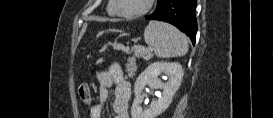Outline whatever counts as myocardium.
<instances>
[{
  "label": "myocardium",
  "mask_w": 273,
  "mask_h": 118,
  "mask_svg": "<svg viewBox=\"0 0 273 118\" xmlns=\"http://www.w3.org/2000/svg\"><path fill=\"white\" fill-rule=\"evenodd\" d=\"M153 2L154 0H147L145 7L141 11L134 12V13H126L119 9V0L111 1L112 9L114 10V13L120 17L127 18V19L137 18V17L145 15L152 8Z\"/></svg>",
  "instance_id": "myocardium-1"
}]
</instances>
